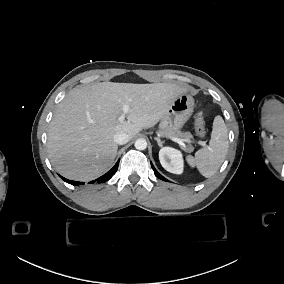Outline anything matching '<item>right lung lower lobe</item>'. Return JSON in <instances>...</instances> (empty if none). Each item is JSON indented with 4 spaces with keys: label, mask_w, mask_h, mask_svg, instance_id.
Listing matches in <instances>:
<instances>
[{
    "label": "right lung lower lobe",
    "mask_w": 284,
    "mask_h": 284,
    "mask_svg": "<svg viewBox=\"0 0 284 284\" xmlns=\"http://www.w3.org/2000/svg\"><path fill=\"white\" fill-rule=\"evenodd\" d=\"M118 165H119V160L117 161V163L114 165V167L108 171L106 174H104L103 176L99 177L98 179L94 180V181H91L90 183H94V182H98V183H104L106 182L107 180H109L114 174L115 172L117 171L118 169ZM60 176V175H59ZM64 181L70 183V184H73V185H83L84 182H77V181H71V180H68V179H65L64 177L60 176Z\"/></svg>",
    "instance_id": "98d812e1"
}]
</instances>
